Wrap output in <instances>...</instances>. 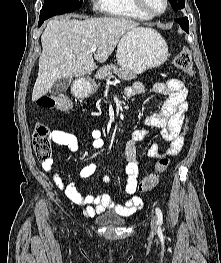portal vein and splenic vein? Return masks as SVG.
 Returning a JSON list of instances; mask_svg holds the SVG:
<instances>
[{
    "mask_svg": "<svg viewBox=\"0 0 221 263\" xmlns=\"http://www.w3.org/2000/svg\"><path fill=\"white\" fill-rule=\"evenodd\" d=\"M96 50H97V46H92L91 49H90L91 52H95ZM109 79H108V81H109Z\"/></svg>",
    "mask_w": 221,
    "mask_h": 263,
    "instance_id": "portal-vein-and-splenic-vein-1",
    "label": "portal vein and splenic vein"
}]
</instances>
